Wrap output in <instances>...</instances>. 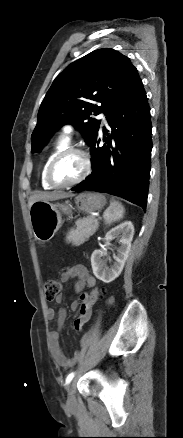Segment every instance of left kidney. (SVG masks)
<instances>
[{
  "instance_id": "1",
  "label": "left kidney",
  "mask_w": 183,
  "mask_h": 438,
  "mask_svg": "<svg viewBox=\"0 0 183 438\" xmlns=\"http://www.w3.org/2000/svg\"><path fill=\"white\" fill-rule=\"evenodd\" d=\"M133 235L134 226L131 221L123 222L106 233L105 240L107 242L119 236L121 246L117 250V255L114 256L116 262L111 268L106 267L102 260V256L104 255L103 250H95L92 253L91 265L93 274L97 279L105 283H110L121 274L130 252Z\"/></svg>"
}]
</instances>
